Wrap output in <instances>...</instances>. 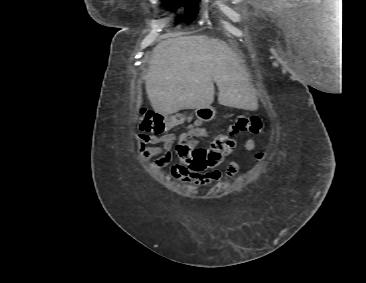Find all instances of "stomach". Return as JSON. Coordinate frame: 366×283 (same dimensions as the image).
Returning <instances> with one entry per match:
<instances>
[{
    "mask_svg": "<svg viewBox=\"0 0 366 283\" xmlns=\"http://www.w3.org/2000/svg\"><path fill=\"white\" fill-rule=\"evenodd\" d=\"M216 111L211 106L199 107L195 110L196 117L204 122H209L215 117Z\"/></svg>",
    "mask_w": 366,
    "mask_h": 283,
    "instance_id": "0dacf381",
    "label": "stomach"
}]
</instances>
